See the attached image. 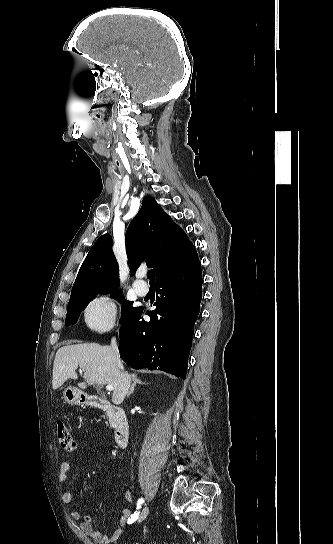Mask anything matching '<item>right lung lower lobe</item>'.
Returning <instances> with one entry per match:
<instances>
[{"mask_svg": "<svg viewBox=\"0 0 333 544\" xmlns=\"http://www.w3.org/2000/svg\"><path fill=\"white\" fill-rule=\"evenodd\" d=\"M160 295L150 321L140 320V307L120 329L122 360L135 369L162 370L185 379L188 356L202 298L200 262L156 281Z\"/></svg>", "mask_w": 333, "mask_h": 544, "instance_id": "98d812e1", "label": "right lung lower lobe"}]
</instances>
